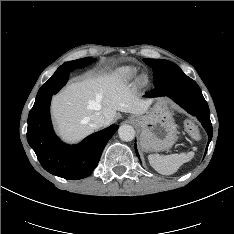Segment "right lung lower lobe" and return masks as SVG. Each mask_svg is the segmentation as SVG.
Returning <instances> with one entry per match:
<instances>
[{"label": "right lung lower lobe", "instance_id": "obj_1", "mask_svg": "<svg viewBox=\"0 0 234 234\" xmlns=\"http://www.w3.org/2000/svg\"><path fill=\"white\" fill-rule=\"evenodd\" d=\"M68 70H57L39 89L28 116L27 140L42 167L65 179H82L98 165L102 151L118 125L96 132L80 144L66 145L55 135L50 119V102L69 78Z\"/></svg>", "mask_w": 234, "mask_h": 234}]
</instances>
